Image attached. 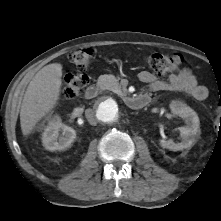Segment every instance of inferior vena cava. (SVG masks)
Returning a JSON list of instances; mask_svg holds the SVG:
<instances>
[{"instance_id":"inferior-vena-cava-1","label":"inferior vena cava","mask_w":221,"mask_h":221,"mask_svg":"<svg viewBox=\"0 0 221 221\" xmlns=\"http://www.w3.org/2000/svg\"><path fill=\"white\" fill-rule=\"evenodd\" d=\"M85 115H86V118H87L88 122L91 125H96L97 124V121H96V118H95V115H94V112L92 111V109H87L85 111Z\"/></svg>"}]
</instances>
